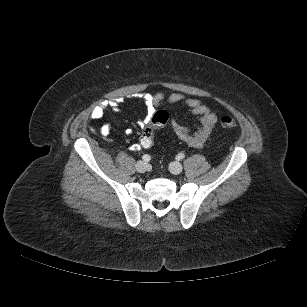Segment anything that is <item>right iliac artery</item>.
Returning <instances> with one entry per match:
<instances>
[{"mask_svg":"<svg viewBox=\"0 0 307 307\" xmlns=\"http://www.w3.org/2000/svg\"><path fill=\"white\" fill-rule=\"evenodd\" d=\"M142 159L145 161V162H149L151 157L148 155V154H145L142 156Z\"/></svg>","mask_w":307,"mask_h":307,"instance_id":"82829eb1","label":"right iliac artery"}]
</instances>
